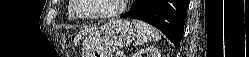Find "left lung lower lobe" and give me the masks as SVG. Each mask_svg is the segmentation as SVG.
<instances>
[{
  "label": "left lung lower lobe",
  "mask_w": 249,
  "mask_h": 57,
  "mask_svg": "<svg viewBox=\"0 0 249 57\" xmlns=\"http://www.w3.org/2000/svg\"><path fill=\"white\" fill-rule=\"evenodd\" d=\"M188 0H134L121 17L145 21L161 30L178 47L184 33Z\"/></svg>",
  "instance_id": "1"
}]
</instances>
